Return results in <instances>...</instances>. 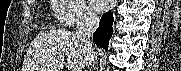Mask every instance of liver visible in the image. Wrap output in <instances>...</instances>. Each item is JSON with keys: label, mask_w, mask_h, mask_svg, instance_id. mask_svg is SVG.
I'll return each mask as SVG.
<instances>
[{"label": "liver", "mask_w": 181, "mask_h": 71, "mask_svg": "<svg viewBox=\"0 0 181 71\" xmlns=\"http://www.w3.org/2000/svg\"><path fill=\"white\" fill-rule=\"evenodd\" d=\"M67 56L69 71H82L87 52L74 33L64 30L40 32L26 52L22 71H62Z\"/></svg>", "instance_id": "liver-1"}]
</instances>
